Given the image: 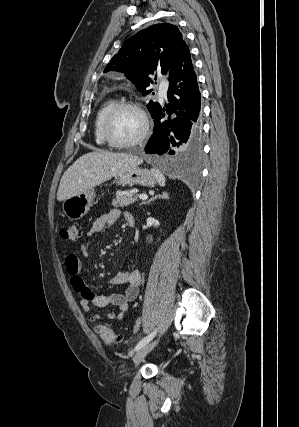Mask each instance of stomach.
Masks as SVG:
<instances>
[{
  "label": "stomach",
  "mask_w": 299,
  "mask_h": 427,
  "mask_svg": "<svg viewBox=\"0 0 299 427\" xmlns=\"http://www.w3.org/2000/svg\"><path fill=\"white\" fill-rule=\"evenodd\" d=\"M116 182L122 186H153L156 184V178L151 171L137 166L118 174L116 176ZM95 197V191L91 188L81 194L64 200L62 205L64 214L70 220L81 219L89 211Z\"/></svg>",
  "instance_id": "stomach-1"
}]
</instances>
